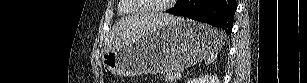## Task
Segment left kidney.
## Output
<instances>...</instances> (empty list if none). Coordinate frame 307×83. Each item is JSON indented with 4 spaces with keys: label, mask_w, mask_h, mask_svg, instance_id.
Here are the masks:
<instances>
[{
    "label": "left kidney",
    "mask_w": 307,
    "mask_h": 83,
    "mask_svg": "<svg viewBox=\"0 0 307 83\" xmlns=\"http://www.w3.org/2000/svg\"><path fill=\"white\" fill-rule=\"evenodd\" d=\"M188 83H219V78L216 75H205L193 78Z\"/></svg>",
    "instance_id": "1"
}]
</instances>
